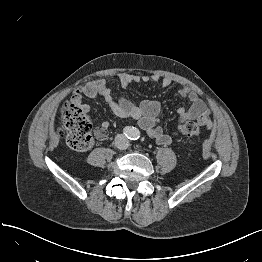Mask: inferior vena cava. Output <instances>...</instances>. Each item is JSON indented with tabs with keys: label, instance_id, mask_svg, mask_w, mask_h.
<instances>
[{
	"label": "inferior vena cava",
	"instance_id": "inferior-vena-cava-1",
	"mask_svg": "<svg viewBox=\"0 0 262 262\" xmlns=\"http://www.w3.org/2000/svg\"><path fill=\"white\" fill-rule=\"evenodd\" d=\"M115 146L120 150H125L129 147V140L123 134H118L115 137Z\"/></svg>",
	"mask_w": 262,
	"mask_h": 262
}]
</instances>
